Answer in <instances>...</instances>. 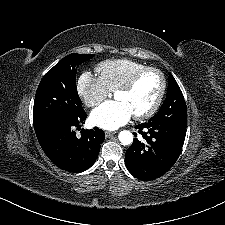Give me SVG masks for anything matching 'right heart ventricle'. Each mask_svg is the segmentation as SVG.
Masks as SVG:
<instances>
[{
  "instance_id": "1",
  "label": "right heart ventricle",
  "mask_w": 225,
  "mask_h": 225,
  "mask_svg": "<svg viewBox=\"0 0 225 225\" xmlns=\"http://www.w3.org/2000/svg\"><path fill=\"white\" fill-rule=\"evenodd\" d=\"M144 67V64L129 59H110L101 62L97 69L107 89L114 92Z\"/></svg>"
}]
</instances>
